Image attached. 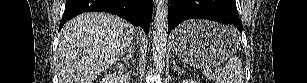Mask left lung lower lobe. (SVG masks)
Listing matches in <instances>:
<instances>
[{
    "label": "left lung lower lobe",
    "instance_id": "left-lung-lower-lobe-1",
    "mask_svg": "<svg viewBox=\"0 0 307 83\" xmlns=\"http://www.w3.org/2000/svg\"><path fill=\"white\" fill-rule=\"evenodd\" d=\"M187 19H207L233 24L242 32L235 0H171L168 12V33Z\"/></svg>",
    "mask_w": 307,
    "mask_h": 83
}]
</instances>
